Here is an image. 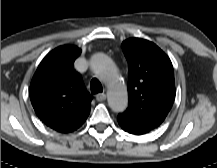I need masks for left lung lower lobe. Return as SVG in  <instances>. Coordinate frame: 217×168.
Wrapping results in <instances>:
<instances>
[{"label":"left lung lower lobe","mask_w":217,"mask_h":168,"mask_svg":"<svg viewBox=\"0 0 217 168\" xmlns=\"http://www.w3.org/2000/svg\"><path fill=\"white\" fill-rule=\"evenodd\" d=\"M117 120H118V123L121 126V128L128 133L135 134V135H142V134L148 133L146 131H143V130L138 129L134 126L129 125L128 123L120 120L119 118H117Z\"/></svg>","instance_id":"obj_1"}]
</instances>
